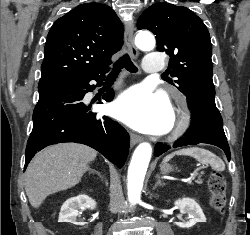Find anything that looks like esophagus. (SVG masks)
<instances>
[{
  "label": "esophagus",
  "mask_w": 250,
  "mask_h": 235,
  "mask_svg": "<svg viewBox=\"0 0 250 235\" xmlns=\"http://www.w3.org/2000/svg\"><path fill=\"white\" fill-rule=\"evenodd\" d=\"M133 31H134L133 22L132 21L127 22L125 25V42L131 56L136 59L139 53L134 44ZM130 141L132 145H136L142 141V137L137 134L130 133Z\"/></svg>",
  "instance_id": "obj_1"
}]
</instances>
